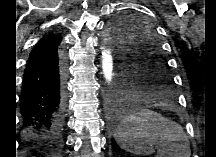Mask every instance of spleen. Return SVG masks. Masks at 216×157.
I'll list each match as a JSON object with an SVG mask.
<instances>
[{"instance_id":"3e777b00","label":"spleen","mask_w":216,"mask_h":157,"mask_svg":"<svg viewBox=\"0 0 216 157\" xmlns=\"http://www.w3.org/2000/svg\"><path fill=\"white\" fill-rule=\"evenodd\" d=\"M174 123L154 111L144 109L126 117L115 134L121 149L134 155H146L154 148L173 151L180 136L169 130Z\"/></svg>"}]
</instances>
